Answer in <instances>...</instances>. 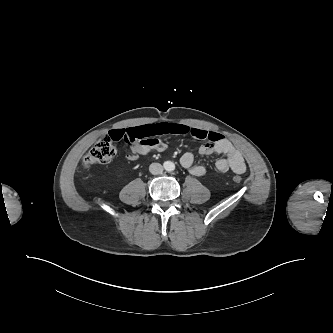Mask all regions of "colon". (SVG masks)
<instances>
[{"label":"colon","mask_w":333,"mask_h":333,"mask_svg":"<svg viewBox=\"0 0 333 333\" xmlns=\"http://www.w3.org/2000/svg\"><path fill=\"white\" fill-rule=\"evenodd\" d=\"M114 155L115 149L112 145V140L108 137H103L85 155L83 166L88 168L92 165L108 163L113 159ZM234 181L239 183L241 178L235 176Z\"/></svg>","instance_id":"5ec220e1"}]
</instances>
